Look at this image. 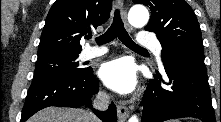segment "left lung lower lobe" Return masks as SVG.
Wrapping results in <instances>:
<instances>
[{"label": "left lung lower lobe", "instance_id": "1", "mask_svg": "<svg viewBox=\"0 0 221 122\" xmlns=\"http://www.w3.org/2000/svg\"><path fill=\"white\" fill-rule=\"evenodd\" d=\"M169 78L168 87L160 74L150 80L143 97L142 122H163L180 117H196L215 122L211 92L204 61L174 57L163 62Z\"/></svg>", "mask_w": 221, "mask_h": 122}]
</instances>
